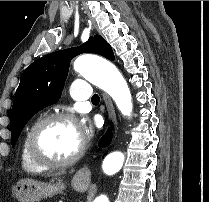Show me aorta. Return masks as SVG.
<instances>
[{
	"label": "aorta",
	"mask_w": 209,
	"mask_h": 202,
	"mask_svg": "<svg viewBox=\"0 0 209 202\" xmlns=\"http://www.w3.org/2000/svg\"><path fill=\"white\" fill-rule=\"evenodd\" d=\"M74 70L100 89L109 94L124 116L132 112V97L120 71L112 63L90 55H82L74 61ZM124 155L120 151L109 153L103 160L104 173L113 175L123 166ZM94 202H109L105 195L98 196Z\"/></svg>",
	"instance_id": "1"
}]
</instances>
